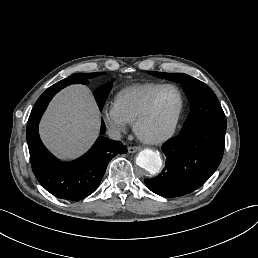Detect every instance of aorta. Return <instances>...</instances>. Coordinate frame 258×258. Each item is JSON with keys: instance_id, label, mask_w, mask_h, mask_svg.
<instances>
[{"instance_id": "obj_1", "label": "aorta", "mask_w": 258, "mask_h": 258, "mask_svg": "<svg viewBox=\"0 0 258 258\" xmlns=\"http://www.w3.org/2000/svg\"><path fill=\"white\" fill-rule=\"evenodd\" d=\"M136 163L150 174L158 173L162 167L160 154L150 149L142 150L136 158Z\"/></svg>"}]
</instances>
